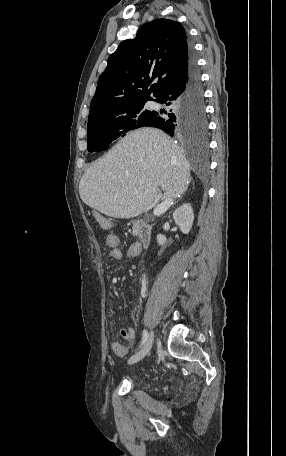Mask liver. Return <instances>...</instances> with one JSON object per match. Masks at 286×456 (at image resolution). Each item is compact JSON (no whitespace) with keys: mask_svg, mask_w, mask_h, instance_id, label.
I'll return each instance as SVG.
<instances>
[{"mask_svg":"<svg viewBox=\"0 0 286 456\" xmlns=\"http://www.w3.org/2000/svg\"><path fill=\"white\" fill-rule=\"evenodd\" d=\"M190 180L183 149L163 131L141 128L127 134L86 169L79 194L89 207L114 218L136 217L158 196L175 198Z\"/></svg>","mask_w":286,"mask_h":456,"instance_id":"liver-1","label":"liver"}]
</instances>
